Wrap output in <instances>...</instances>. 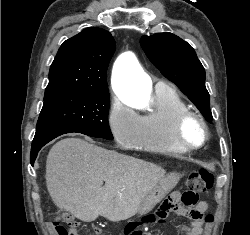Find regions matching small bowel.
Instances as JSON below:
<instances>
[{
    "instance_id": "1",
    "label": "small bowel",
    "mask_w": 250,
    "mask_h": 235,
    "mask_svg": "<svg viewBox=\"0 0 250 235\" xmlns=\"http://www.w3.org/2000/svg\"><path fill=\"white\" fill-rule=\"evenodd\" d=\"M160 212L158 215V222H163V220L166 218L167 214L171 211L172 209V204L170 201H165L163 205L160 207ZM192 210L196 211L199 216L196 218H193V221L189 225H183L181 227V231L183 235H203L204 233V227L207 221L203 219V214L207 210V204L204 201L199 202ZM190 209H182L179 210V213L182 215H188L192 211ZM98 235H101L99 230H97ZM141 232L135 228L132 227L130 228L127 232L126 235H140ZM74 235H78L75 233Z\"/></svg>"
}]
</instances>
